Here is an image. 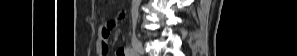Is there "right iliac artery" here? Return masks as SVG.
Instances as JSON below:
<instances>
[{"instance_id": "obj_1", "label": "right iliac artery", "mask_w": 297, "mask_h": 56, "mask_svg": "<svg viewBox=\"0 0 297 56\" xmlns=\"http://www.w3.org/2000/svg\"><path fill=\"white\" fill-rule=\"evenodd\" d=\"M125 52H126L127 56H135L136 55L135 51L131 48H126Z\"/></svg>"}]
</instances>
